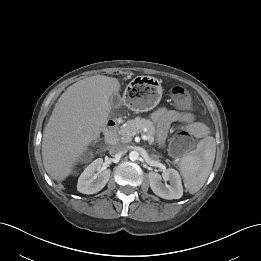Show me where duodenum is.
Wrapping results in <instances>:
<instances>
[{
	"label": "duodenum",
	"instance_id": "410a0bca",
	"mask_svg": "<svg viewBox=\"0 0 261 261\" xmlns=\"http://www.w3.org/2000/svg\"><path fill=\"white\" fill-rule=\"evenodd\" d=\"M104 136L108 145L113 146L117 143V123L114 119H108L106 121Z\"/></svg>",
	"mask_w": 261,
	"mask_h": 261
}]
</instances>
